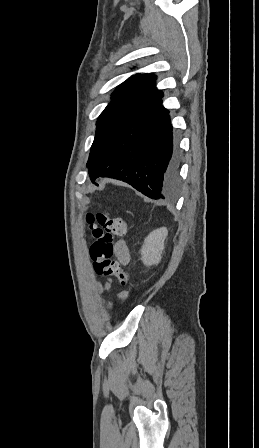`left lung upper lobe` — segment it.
Returning <instances> with one entry per match:
<instances>
[{
    "mask_svg": "<svg viewBox=\"0 0 259 448\" xmlns=\"http://www.w3.org/2000/svg\"><path fill=\"white\" fill-rule=\"evenodd\" d=\"M153 73H137L129 77L112 94V100L96 122V135L91 146L87 167L99 151L126 124L131 113L142 110L159 91Z\"/></svg>",
    "mask_w": 259,
    "mask_h": 448,
    "instance_id": "obj_1",
    "label": "left lung upper lobe"
}]
</instances>
